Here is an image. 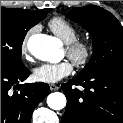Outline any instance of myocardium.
I'll return each instance as SVG.
<instances>
[{
	"instance_id": "obj_1",
	"label": "myocardium",
	"mask_w": 123,
	"mask_h": 123,
	"mask_svg": "<svg viewBox=\"0 0 123 123\" xmlns=\"http://www.w3.org/2000/svg\"><path fill=\"white\" fill-rule=\"evenodd\" d=\"M93 54V44L88 40L77 38L66 44V55L77 68L87 66Z\"/></svg>"
}]
</instances>
